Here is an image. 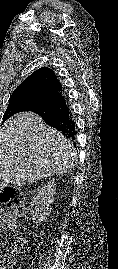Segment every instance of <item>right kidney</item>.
<instances>
[{"mask_svg": "<svg viewBox=\"0 0 118 269\" xmlns=\"http://www.w3.org/2000/svg\"><path fill=\"white\" fill-rule=\"evenodd\" d=\"M55 191L54 180L42 184L35 190L30 202V214L33 222L41 223L47 218L54 201Z\"/></svg>", "mask_w": 118, "mask_h": 269, "instance_id": "1", "label": "right kidney"}]
</instances>
